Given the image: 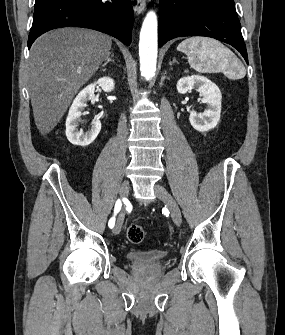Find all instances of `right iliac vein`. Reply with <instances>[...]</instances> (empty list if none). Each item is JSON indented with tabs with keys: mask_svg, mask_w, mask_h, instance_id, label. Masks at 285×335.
I'll list each match as a JSON object with an SVG mask.
<instances>
[{
	"mask_svg": "<svg viewBox=\"0 0 285 335\" xmlns=\"http://www.w3.org/2000/svg\"><path fill=\"white\" fill-rule=\"evenodd\" d=\"M129 181L125 180L122 182L121 187H120V196L122 198L127 197L128 193H129ZM124 221V215L120 214L118 219H117V223L115 225V228L113 229V233L116 235L120 232L121 227H122V223Z\"/></svg>",
	"mask_w": 285,
	"mask_h": 335,
	"instance_id": "1",
	"label": "right iliac vein"
}]
</instances>
